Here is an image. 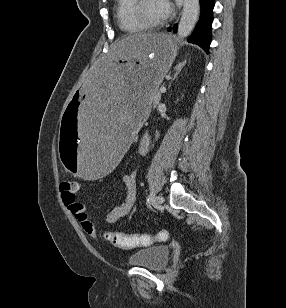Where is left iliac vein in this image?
<instances>
[{"mask_svg":"<svg viewBox=\"0 0 286 308\" xmlns=\"http://www.w3.org/2000/svg\"><path fill=\"white\" fill-rule=\"evenodd\" d=\"M155 203L157 205H162L164 203V198L161 195L156 196Z\"/></svg>","mask_w":286,"mask_h":308,"instance_id":"obj_1","label":"left iliac vein"}]
</instances>
